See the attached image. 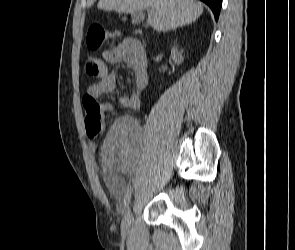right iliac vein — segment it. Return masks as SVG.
Segmentation results:
<instances>
[{
    "instance_id": "1",
    "label": "right iliac vein",
    "mask_w": 295,
    "mask_h": 250,
    "mask_svg": "<svg viewBox=\"0 0 295 250\" xmlns=\"http://www.w3.org/2000/svg\"><path fill=\"white\" fill-rule=\"evenodd\" d=\"M131 206L132 202L130 201L127 206V211L125 216L123 217L122 223H121V233L123 237H126L130 231L131 226Z\"/></svg>"
}]
</instances>
